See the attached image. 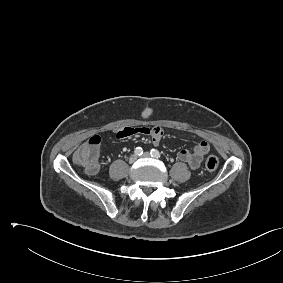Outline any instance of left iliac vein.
<instances>
[{
  "label": "left iliac vein",
  "mask_w": 283,
  "mask_h": 283,
  "mask_svg": "<svg viewBox=\"0 0 283 283\" xmlns=\"http://www.w3.org/2000/svg\"><path fill=\"white\" fill-rule=\"evenodd\" d=\"M150 156H151L150 153L145 152L141 157H142V158H149Z\"/></svg>",
  "instance_id": "1"
}]
</instances>
